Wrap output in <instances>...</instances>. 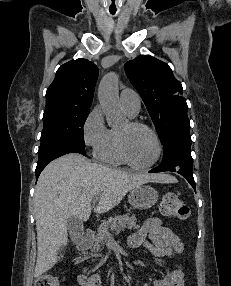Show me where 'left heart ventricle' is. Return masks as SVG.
<instances>
[{"label": "left heart ventricle", "instance_id": "obj_1", "mask_svg": "<svg viewBox=\"0 0 231 286\" xmlns=\"http://www.w3.org/2000/svg\"><path fill=\"white\" fill-rule=\"evenodd\" d=\"M118 131L124 135L127 152L135 163L145 165L155 158L157 146L149 131L143 128H129L127 122Z\"/></svg>", "mask_w": 231, "mask_h": 286}]
</instances>
